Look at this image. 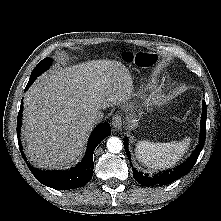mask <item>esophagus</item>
Returning a JSON list of instances; mask_svg holds the SVG:
<instances>
[{
    "instance_id": "34e87169",
    "label": "esophagus",
    "mask_w": 221,
    "mask_h": 221,
    "mask_svg": "<svg viewBox=\"0 0 221 221\" xmlns=\"http://www.w3.org/2000/svg\"><path fill=\"white\" fill-rule=\"evenodd\" d=\"M112 126L113 128H115L116 130H120L123 126V119L120 115H115L112 118Z\"/></svg>"
}]
</instances>
